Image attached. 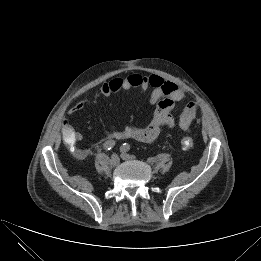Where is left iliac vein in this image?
I'll use <instances>...</instances> for the list:
<instances>
[{"label": "left iliac vein", "mask_w": 261, "mask_h": 261, "mask_svg": "<svg viewBox=\"0 0 261 261\" xmlns=\"http://www.w3.org/2000/svg\"><path fill=\"white\" fill-rule=\"evenodd\" d=\"M121 158H122L123 160H132V159H133V156H131V155L125 153V152H122Z\"/></svg>", "instance_id": "1"}]
</instances>
